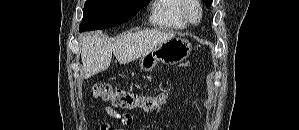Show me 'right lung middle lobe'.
<instances>
[{"label": "right lung middle lobe", "mask_w": 299, "mask_h": 130, "mask_svg": "<svg viewBox=\"0 0 299 130\" xmlns=\"http://www.w3.org/2000/svg\"><path fill=\"white\" fill-rule=\"evenodd\" d=\"M150 0H87L80 31L103 29L130 20Z\"/></svg>", "instance_id": "dd1d6c3e"}]
</instances>
